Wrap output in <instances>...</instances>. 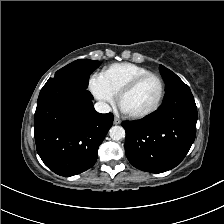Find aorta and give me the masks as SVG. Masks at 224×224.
Here are the masks:
<instances>
[{"instance_id": "obj_1", "label": "aorta", "mask_w": 224, "mask_h": 224, "mask_svg": "<svg viewBox=\"0 0 224 224\" xmlns=\"http://www.w3.org/2000/svg\"><path fill=\"white\" fill-rule=\"evenodd\" d=\"M109 136L114 141H119L125 137V130L121 126H113L109 130Z\"/></svg>"}]
</instances>
